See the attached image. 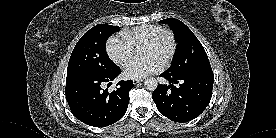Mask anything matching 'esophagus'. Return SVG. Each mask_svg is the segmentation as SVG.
Returning <instances> with one entry per match:
<instances>
[{
    "instance_id": "obj_1",
    "label": "esophagus",
    "mask_w": 276,
    "mask_h": 138,
    "mask_svg": "<svg viewBox=\"0 0 276 138\" xmlns=\"http://www.w3.org/2000/svg\"><path fill=\"white\" fill-rule=\"evenodd\" d=\"M142 80H140V79H132V82L134 83V84H137V83H139V82H141Z\"/></svg>"
}]
</instances>
